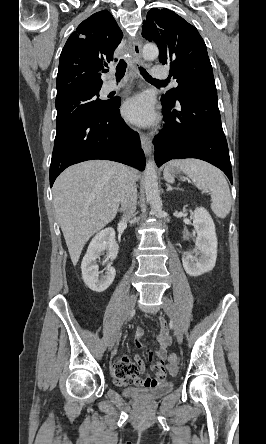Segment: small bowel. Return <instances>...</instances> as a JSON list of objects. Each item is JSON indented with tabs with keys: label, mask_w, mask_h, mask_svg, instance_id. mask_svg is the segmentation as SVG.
Masks as SVG:
<instances>
[{
	"label": "small bowel",
	"mask_w": 266,
	"mask_h": 444,
	"mask_svg": "<svg viewBox=\"0 0 266 444\" xmlns=\"http://www.w3.org/2000/svg\"><path fill=\"white\" fill-rule=\"evenodd\" d=\"M161 332L156 336L158 343V349L155 352L157 361L153 364V369L156 372L154 377H150L146 372V365L144 360L135 356L134 361L124 355L118 361L114 362L111 367V372L115 382L120 386H126L129 384H135L140 387L153 388L160 384L166 383V369L170 372H174L170 366H166L167 348L171 344V335L167 322L160 319ZM143 331L138 329L135 333L134 341L136 347L143 349L141 344V338ZM147 354L150 359L153 357V353L147 350Z\"/></svg>",
	"instance_id": "c3829d8e"
}]
</instances>
